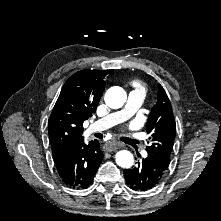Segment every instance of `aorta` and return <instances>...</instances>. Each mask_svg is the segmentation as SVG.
<instances>
[{
  "label": "aorta",
  "instance_id": "762f6f07",
  "mask_svg": "<svg viewBox=\"0 0 221 221\" xmlns=\"http://www.w3.org/2000/svg\"><path fill=\"white\" fill-rule=\"evenodd\" d=\"M105 103L113 109L121 108L126 102L127 95L123 88L114 86L107 90L105 94ZM116 163L122 168H130L133 165L134 157L131 152L121 150L116 153Z\"/></svg>",
  "mask_w": 221,
  "mask_h": 221
}]
</instances>
